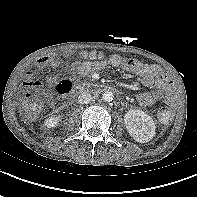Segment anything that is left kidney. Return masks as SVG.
<instances>
[{
    "instance_id": "1",
    "label": "left kidney",
    "mask_w": 197,
    "mask_h": 197,
    "mask_svg": "<svg viewBox=\"0 0 197 197\" xmlns=\"http://www.w3.org/2000/svg\"><path fill=\"white\" fill-rule=\"evenodd\" d=\"M124 122L130 136L137 142H149L155 135L152 117L140 109H130L124 116Z\"/></svg>"
}]
</instances>
